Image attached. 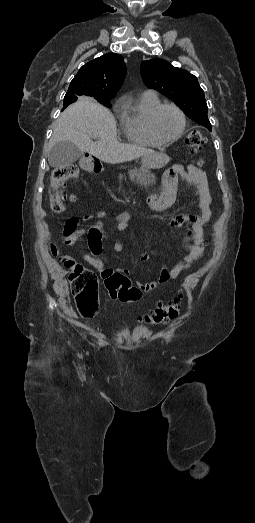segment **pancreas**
<instances>
[{"instance_id": "obj_1", "label": "pancreas", "mask_w": 255, "mask_h": 523, "mask_svg": "<svg viewBox=\"0 0 255 523\" xmlns=\"http://www.w3.org/2000/svg\"><path fill=\"white\" fill-rule=\"evenodd\" d=\"M131 182H136V184H141V186H149V184H154L155 182V176L154 174H150L149 170H144V168H140V170H129L128 172ZM123 176L120 174L119 180H122Z\"/></svg>"}]
</instances>
